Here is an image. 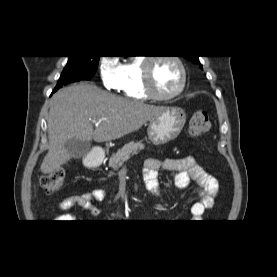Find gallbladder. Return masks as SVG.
I'll use <instances>...</instances> for the list:
<instances>
[{"label":"gallbladder","instance_id":"gallbladder-1","mask_svg":"<svg viewBox=\"0 0 277 277\" xmlns=\"http://www.w3.org/2000/svg\"><path fill=\"white\" fill-rule=\"evenodd\" d=\"M65 149L71 158L78 159L86 156L90 152L91 144L88 141H79L74 138L66 142Z\"/></svg>","mask_w":277,"mask_h":277}]
</instances>
